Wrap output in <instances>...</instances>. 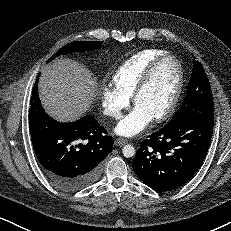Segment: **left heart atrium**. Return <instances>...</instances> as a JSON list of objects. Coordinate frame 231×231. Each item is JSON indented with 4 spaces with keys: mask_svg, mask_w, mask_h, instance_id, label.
I'll list each match as a JSON object with an SVG mask.
<instances>
[{
    "mask_svg": "<svg viewBox=\"0 0 231 231\" xmlns=\"http://www.w3.org/2000/svg\"><path fill=\"white\" fill-rule=\"evenodd\" d=\"M153 118L140 107L135 108L126 116L115 127L117 134L132 137L142 132L151 123Z\"/></svg>",
    "mask_w": 231,
    "mask_h": 231,
    "instance_id": "1",
    "label": "left heart atrium"
}]
</instances>
